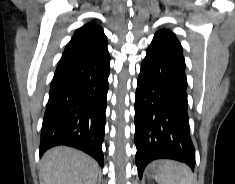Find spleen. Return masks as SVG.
<instances>
[{
	"mask_svg": "<svg viewBox=\"0 0 235 184\" xmlns=\"http://www.w3.org/2000/svg\"><path fill=\"white\" fill-rule=\"evenodd\" d=\"M154 178L157 184H195L189 166L174 160H160Z\"/></svg>",
	"mask_w": 235,
	"mask_h": 184,
	"instance_id": "spleen-1",
	"label": "spleen"
}]
</instances>
